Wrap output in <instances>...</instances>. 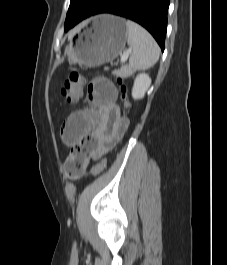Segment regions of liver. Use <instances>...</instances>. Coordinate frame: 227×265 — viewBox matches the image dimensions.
I'll return each mask as SVG.
<instances>
[{
    "instance_id": "1",
    "label": "liver",
    "mask_w": 227,
    "mask_h": 265,
    "mask_svg": "<svg viewBox=\"0 0 227 265\" xmlns=\"http://www.w3.org/2000/svg\"><path fill=\"white\" fill-rule=\"evenodd\" d=\"M73 34H70L69 37H72Z\"/></svg>"
}]
</instances>
